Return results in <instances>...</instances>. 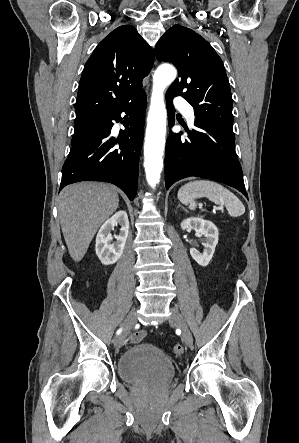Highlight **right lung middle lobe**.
Segmentation results:
<instances>
[{"mask_svg":"<svg viewBox=\"0 0 299 443\" xmlns=\"http://www.w3.org/2000/svg\"><path fill=\"white\" fill-rule=\"evenodd\" d=\"M100 127L98 118L76 123L72 137V146L83 140L87 135Z\"/></svg>","mask_w":299,"mask_h":443,"instance_id":"obj_1","label":"right lung middle lobe"}]
</instances>
